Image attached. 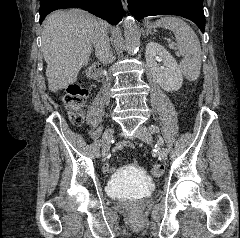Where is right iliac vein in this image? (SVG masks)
Segmentation results:
<instances>
[{"instance_id": "obj_1", "label": "right iliac vein", "mask_w": 240, "mask_h": 238, "mask_svg": "<svg viewBox=\"0 0 240 238\" xmlns=\"http://www.w3.org/2000/svg\"><path fill=\"white\" fill-rule=\"evenodd\" d=\"M113 133L114 129L110 128L105 131L102 137V156L105 158L108 154V151L110 149V144L113 139Z\"/></svg>"}]
</instances>
